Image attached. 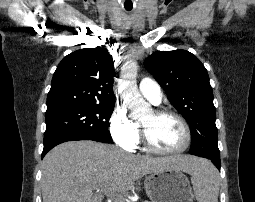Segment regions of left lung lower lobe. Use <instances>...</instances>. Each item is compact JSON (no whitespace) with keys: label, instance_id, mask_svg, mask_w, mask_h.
<instances>
[{"label":"left lung lower lobe","instance_id":"left-lung-lower-lobe-1","mask_svg":"<svg viewBox=\"0 0 255 202\" xmlns=\"http://www.w3.org/2000/svg\"><path fill=\"white\" fill-rule=\"evenodd\" d=\"M205 158L211 160L212 163L220 170V156L219 157L209 156Z\"/></svg>","mask_w":255,"mask_h":202}]
</instances>
